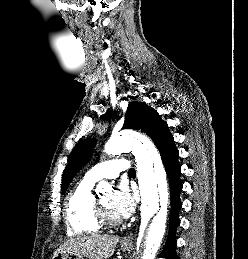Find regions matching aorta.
I'll return each instance as SVG.
<instances>
[{"label":"aorta","mask_w":248,"mask_h":259,"mask_svg":"<svg viewBox=\"0 0 248 259\" xmlns=\"http://www.w3.org/2000/svg\"><path fill=\"white\" fill-rule=\"evenodd\" d=\"M104 150L107 155L132 151L135 156L141 194L140 236H145L141 259H155L165 233L169 198L166 172L160 154L149 138L138 134L112 136ZM97 188L107 189L109 184L101 181Z\"/></svg>","instance_id":"762f6f07"}]
</instances>
